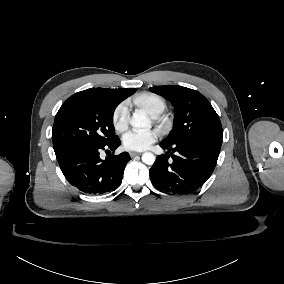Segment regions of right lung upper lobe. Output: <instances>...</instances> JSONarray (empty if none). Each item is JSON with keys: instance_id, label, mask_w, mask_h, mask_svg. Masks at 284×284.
<instances>
[{"instance_id": "obj_1", "label": "right lung upper lobe", "mask_w": 284, "mask_h": 284, "mask_svg": "<svg viewBox=\"0 0 284 284\" xmlns=\"http://www.w3.org/2000/svg\"><path fill=\"white\" fill-rule=\"evenodd\" d=\"M94 89L101 94L105 95L107 98L112 100L113 102L119 104L128 96L132 95L136 89L135 88H123V89H105V88H91Z\"/></svg>"}]
</instances>
